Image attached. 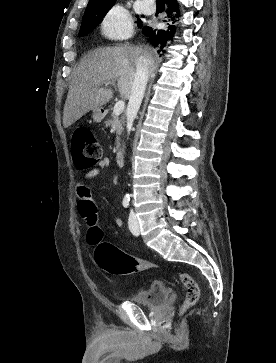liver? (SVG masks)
Masks as SVG:
<instances>
[{
	"label": "liver",
	"mask_w": 276,
	"mask_h": 363,
	"mask_svg": "<svg viewBox=\"0 0 276 363\" xmlns=\"http://www.w3.org/2000/svg\"><path fill=\"white\" fill-rule=\"evenodd\" d=\"M139 58L147 61L149 74L156 70L154 51L148 47L118 45L89 52L78 64L69 86L63 112V125L71 126L90 110L110 101L111 89L104 83L117 80L119 93L129 98Z\"/></svg>",
	"instance_id": "obj_1"
}]
</instances>
